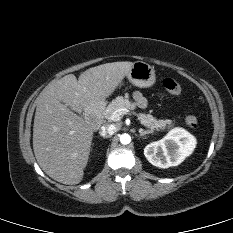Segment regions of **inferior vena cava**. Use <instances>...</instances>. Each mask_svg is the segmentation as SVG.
Returning a JSON list of instances; mask_svg holds the SVG:
<instances>
[{
  "instance_id": "obj_1",
  "label": "inferior vena cava",
  "mask_w": 233,
  "mask_h": 233,
  "mask_svg": "<svg viewBox=\"0 0 233 233\" xmlns=\"http://www.w3.org/2000/svg\"><path fill=\"white\" fill-rule=\"evenodd\" d=\"M116 132V127L114 125H106L102 126L99 134L103 137H106L108 135H113Z\"/></svg>"
}]
</instances>
